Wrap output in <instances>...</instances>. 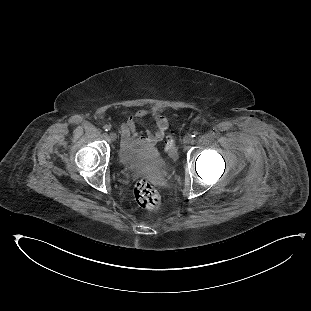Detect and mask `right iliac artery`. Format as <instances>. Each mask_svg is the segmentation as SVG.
<instances>
[{"label":"right iliac artery","instance_id":"obj_1","mask_svg":"<svg viewBox=\"0 0 311 311\" xmlns=\"http://www.w3.org/2000/svg\"><path fill=\"white\" fill-rule=\"evenodd\" d=\"M103 128H104V130L107 131V132L110 131V126H109V125H105Z\"/></svg>","mask_w":311,"mask_h":311}]
</instances>
